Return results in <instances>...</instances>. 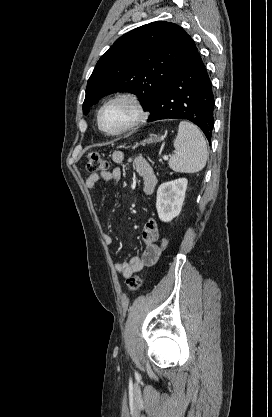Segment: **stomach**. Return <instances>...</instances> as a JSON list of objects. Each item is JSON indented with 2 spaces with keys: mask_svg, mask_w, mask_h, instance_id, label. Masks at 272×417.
<instances>
[{
  "mask_svg": "<svg viewBox=\"0 0 272 417\" xmlns=\"http://www.w3.org/2000/svg\"><path fill=\"white\" fill-rule=\"evenodd\" d=\"M158 141H161V138L154 136V137H151L149 139L142 141L141 144L145 145L146 143H153V142H158Z\"/></svg>",
  "mask_w": 272,
  "mask_h": 417,
  "instance_id": "obj_1",
  "label": "stomach"
}]
</instances>
